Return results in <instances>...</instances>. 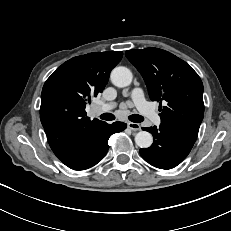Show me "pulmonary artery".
Segmentation results:
<instances>
[{
	"label": "pulmonary artery",
	"mask_w": 231,
	"mask_h": 231,
	"mask_svg": "<svg viewBox=\"0 0 231 231\" xmlns=\"http://www.w3.org/2000/svg\"><path fill=\"white\" fill-rule=\"evenodd\" d=\"M130 98L140 112L146 115L153 123L159 124L160 118L154 108L145 100L141 88H134L130 93ZM116 106L115 103L103 104L102 110H110Z\"/></svg>",
	"instance_id": "pulmonary-artery-1"
}]
</instances>
